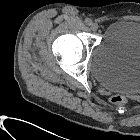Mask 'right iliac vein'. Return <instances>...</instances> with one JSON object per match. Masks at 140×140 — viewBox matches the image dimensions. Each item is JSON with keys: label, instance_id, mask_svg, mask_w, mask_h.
<instances>
[{"label": "right iliac vein", "instance_id": "63e3f726", "mask_svg": "<svg viewBox=\"0 0 140 140\" xmlns=\"http://www.w3.org/2000/svg\"><path fill=\"white\" fill-rule=\"evenodd\" d=\"M98 28H99V26H98L97 23H93V24L91 25V30H92V31H97Z\"/></svg>", "mask_w": 140, "mask_h": 140}]
</instances>
